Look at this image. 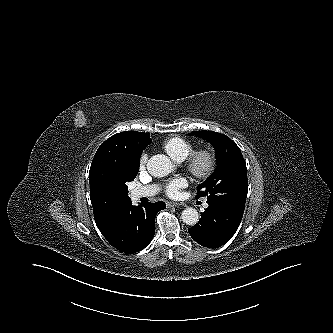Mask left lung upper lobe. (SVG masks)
I'll use <instances>...</instances> for the list:
<instances>
[{
	"instance_id": "1",
	"label": "left lung upper lobe",
	"mask_w": 333,
	"mask_h": 333,
	"mask_svg": "<svg viewBox=\"0 0 333 333\" xmlns=\"http://www.w3.org/2000/svg\"><path fill=\"white\" fill-rule=\"evenodd\" d=\"M192 135L208 140L215 148L217 166L214 173L197 188L196 198L206 196L244 212L248 179L240 148L226 135L213 131H193Z\"/></svg>"
}]
</instances>
